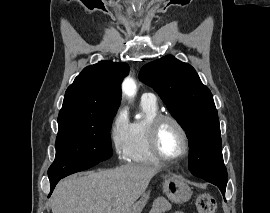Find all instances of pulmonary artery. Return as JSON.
Wrapping results in <instances>:
<instances>
[{
    "label": "pulmonary artery",
    "mask_w": 270,
    "mask_h": 213,
    "mask_svg": "<svg viewBox=\"0 0 270 213\" xmlns=\"http://www.w3.org/2000/svg\"><path fill=\"white\" fill-rule=\"evenodd\" d=\"M141 99L148 100L151 102H156V98L152 93H144Z\"/></svg>",
    "instance_id": "1"
}]
</instances>
